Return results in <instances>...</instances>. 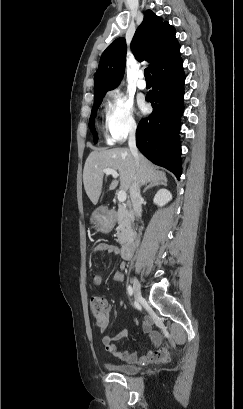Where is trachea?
Instances as JSON below:
<instances>
[{
	"mask_svg": "<svg viewBox=\"0 0 243 409\" xmlns=\"http://www.w3.org/2000/svg\"><path fill=\"white\" fill-rule=\"evenodd\" d=\"M144 75H145L146 80H151V74H150V69L149 68H146L144 70Z\"/></svg>",
	"mask_w": 243,
	"mask_h": 409,
	"instance_id": "1",
	"label": "trachea"
}]
</instances>
